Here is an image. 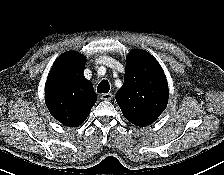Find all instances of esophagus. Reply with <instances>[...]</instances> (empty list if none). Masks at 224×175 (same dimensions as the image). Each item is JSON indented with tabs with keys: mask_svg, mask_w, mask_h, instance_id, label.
Instances as JSON below:
<instances>
[{
	"mask_svg": "<svg viewBox=\"0 0 224 175\" xmlns=\"http://www.w3.org/2000/svg\"><path fill=\"white\" fill-rule=\"evenodd\" d=\"M113 99V94L112 93H104L101 95V100L104 101H111Z\"/></svg>",
	"mask_w": 224,
	"mask_h": 175,
	"instance_id": "1",
	"label": "esophagus"
}]
</instances>
